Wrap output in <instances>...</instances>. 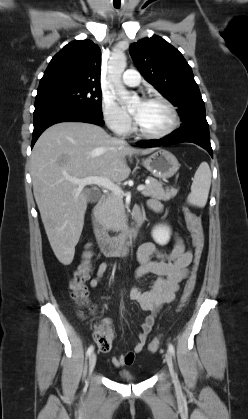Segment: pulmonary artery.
Segmentation results:
<instances>
[{
  "instance_id": "obj_1",
  "label": "pulmonary artery",
  "mask_w": 248,
  "mask_h": 419,
  "mask_svg": "<svg viewBox=\"0 0 248 419\" xmlns=\"http://www.w3.org/2000/svg\"><path fill=\"white\" fill-rule=\"evenodd\" d=\"M122 81L127 86H137L140 83V74L136 70L128 69L124 72Z\"/></svg>"
}]
</instances>
